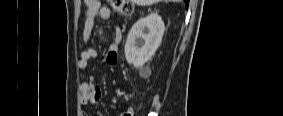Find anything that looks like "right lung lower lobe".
Returning a JSON list of instances; mask_svg holds the SVG:
<instances>
[{
	"mask_svg": "<svg viewBox=\"0 0 283 116\" xmlns=\"http://www.w3.org/2000/svg\"><path fill=\"white\" fill-rule=\"evenodd\" d=\"M185 4H186V7H188V4H189V0H184Z\"/></svg>",
	"mask_w": 283,
	"mask_h": 116,
	"instance_id": "obj_1",
	"label": "right lung lower lobe"
}]
</instances>
